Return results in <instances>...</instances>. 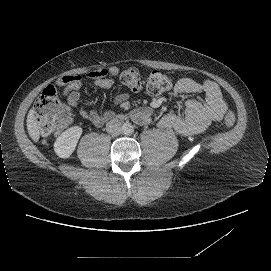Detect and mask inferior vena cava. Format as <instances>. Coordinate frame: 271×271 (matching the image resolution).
Here are the masks:
<instances>
[{"instance_id":"obj_1","label":"inferior vena cava","mask_w":271,"mask_h":271,"mask_svg":"<svg viewBox=\"0 0 271 271\" xmlns=\"http://www.w3.org/2000/svg\"><path fill=\"white\" fill-rule=\"evenodd\" d=\"M106 130L111 135H119L122 131L121 122L118 119L110 120L106 125Z\"/></svg>"}]
</instances>
